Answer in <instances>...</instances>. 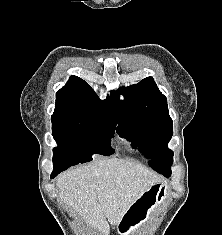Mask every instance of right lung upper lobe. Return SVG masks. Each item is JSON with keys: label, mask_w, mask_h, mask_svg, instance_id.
Returning a JSON list of instances; mask_svg holds the SVG:
<instances>
[{"label": "right lung upper lobe", "mask_w": 222, "mask_h": 235, "mask_svg": "<svg viewBox=\"0 0 222 235\" xmlns=\"http://www.w3.org/2000/svg\"><path fill=\"white\" fill-rule=\"evenodd\" d=\"M96 115L117 121L112 95L100 100L93 89L81 78L71 76L56 93V107L52 116Z\"/></svg>", "instance_id": "right-lung-upper-lobe-1"}]
</instances>
